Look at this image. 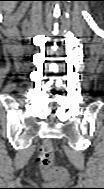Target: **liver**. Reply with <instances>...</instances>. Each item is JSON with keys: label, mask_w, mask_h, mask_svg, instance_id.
Segmentation results:
<instances>
[{"label": "liver", "mask_w": 104, "mask_h": 189, "mask_svg": "<svg viewBox=\"0 0 104 189\" xmlns=\"http://www.w3.org/2000/svg\"><path fill=\"white\" fill-rule=\"evenodd\" d=\"M16 6V3L15 2H5L2 4V9L5 10L7 13H10L14 7Z\"/></svg>", "instance_id": "6515ba94"}]
</instances>
